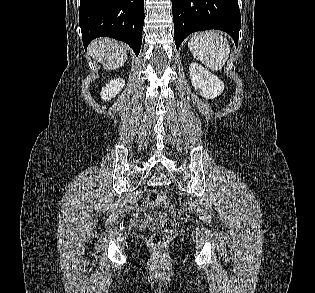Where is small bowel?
I'll use <instances>...</instances> for the list:
<instances>
[{
	"mask_svg": "<svg viewBox=\"0 0 315 293\" xmlns=\"http://www.w3.org/2000/svg\"><path fill=\"white\" fill-rule=\"evenodd\" d=\"M153 207L156 206L149 201L142 202L133 216V224L138 228L149 227L150 230H159V223L166 218V215L158 211H153L147 215L146 213Z\"/></svg>",
	"mask_w": 315,
	"mask_h": 293,
	"instance_id": "obj_1",
	"label": "small bowel"
}]
</instances>
